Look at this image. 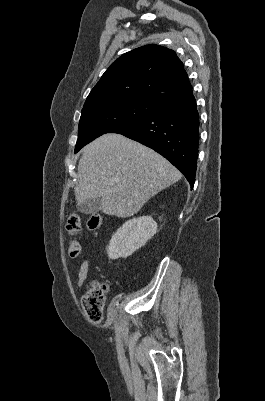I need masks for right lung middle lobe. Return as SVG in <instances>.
I'll list each match as a JSON object with an SVG mask.
<instances>
[{"instance_id":"right-lung-middle-lobe-1","label":"right lung middle lobe","mask_w":265,"mask_h":401,"mask_svg":"<svg viewBox=\"0 0 265 401\" xmlns=\"http://www.w3.org/2000/svg\"><path fill=\"white\" fill-rule=\"evenodd\" d=\"M160 106L161 103L145 99L111 100L84 106L75 153L97 137L134 123Z\"/></svg>"}]
</instances>
